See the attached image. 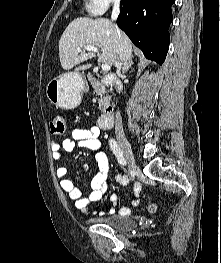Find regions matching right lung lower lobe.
Wrapping results in <instances>:
<instances>
[{
  "label": "right lung lower lobe",
  "instance_id": "1",
  "mask_svg": "<svg viewBox=\"0 0 221 263\" xmlns=\"http://www.w3.org/2000/svg\"><path fill=\"white\" fill-rule=\"evenodd\" d=\"M174 0H121L117 25L147 59L162 64L169 47Z\"/></svg>",
  "mask_w": 221,
  "mask_h": 263
}]
</instances>
